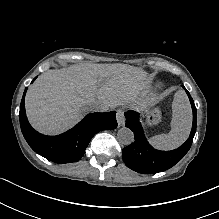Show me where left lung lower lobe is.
<instances>
[{
  "mask_svg": "<svg viewBox=\"0 0 219 219\" xmlns=\"http://www.w3.org/2000/svg\"><path fill=\"white\" fill-rule=\"evenodd\" d=\"M183 88L188 94L193 111V124L190 137L183 145L175 150H156L145 138L139 121V114L134 111L125 112V125L135 134V141L122 150V158L127 167L142 174L162 172L174 166L188 152L196 132L197 111L191 95L185 87Z\"/></svg>",
  "mask_w": 219,
  "mask_h": 219,
  "instance_id": "1",
  "label": "left lung lower lobe"
}]
</instances>
